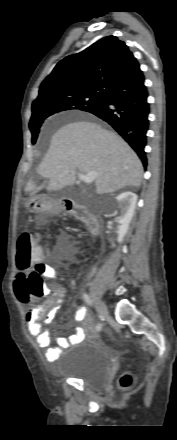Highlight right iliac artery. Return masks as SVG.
I'll use <instances>...</instances> for the list:
<instances>
[{"label":"right iliac artery","mask_w":177,"mask_h":440,"mask_svg":"<svg viewBox=\"0 0 177 440\" xmlns=\"http://www.w3.org/2000/svg\"><path fill=\"white\" fill-rule=\"evenodd\" d=\"M83 298H84V300H85L89 305H91V300H90V298H89V296H88L87 294L84 293V294H83ZM101 327H102L101 324H97L96 329H97V330H100Z\"/></svg>","instance_id":"1"}]
</instances>
